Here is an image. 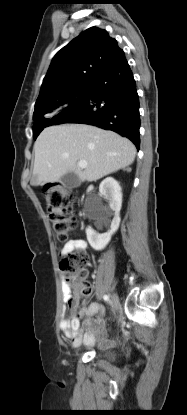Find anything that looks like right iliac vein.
I'll use <instances>...</instances> for the list:
<instances>
[{
    "instance_id": "1",
    "label": "right iliac vein",
    "mask_w": 187,
    "mask_h": 415,
    "mask_svg": "<svg viewBox=\"0 0 187 415\" xmlns=\"http://www.w3.org/2000/svg\"><path fill=\"white\" fill-rule=\"evenodd\" d=\"M111 303H112L113 311L115 312L119 307V298L117 294L111 295Z\"/></svg>"
}]
</instances>
